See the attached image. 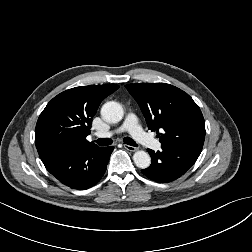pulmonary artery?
<instances>
[{
	"mask_svg": "<svg viewBox=\"0 0 252 252\" xmlns=\"http://www.w3.org/2000/svg\"><path fill=\"white\" fill-rule=\"evenodd\" d=\"M124 131H128L138 143L142 144L143 146L149 149L159 150L161 148V143L142 129V127L139 124L137 116L133 113H130L127 116L125 122L116 130L105 133L99 132L96 133V136L108 137L115 133H121Z\"/></svg>",
	"mask_w": 252,
	"mask_h": 252,
	"instance_id": "obj_1",
	"label": "pulmonary artery"
}]
</instances>
